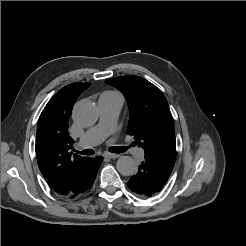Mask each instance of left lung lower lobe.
<instances>
[{
	"label": "left lung lower lobe",
	"mask_w": 246,
	"mask_h": 246,
	"mask_svg": "<svg viewBox=\"0 0 246 246\" xmlns=\"http://www.w3.org/2000/svg\"><path fill=\"white\" fill-rule=\"evenodd\" d=\"M171 172V170L152 159L145 158L137 173L130 178L127 185L138 196L142 198L150 197L161 191Z\"/></svg>",
	"instance_id": "1"
}]
</instances>
